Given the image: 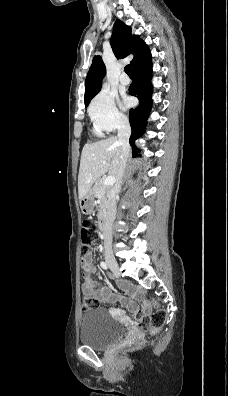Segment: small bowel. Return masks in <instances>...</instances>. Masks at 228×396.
<instances>
[{
    "label": "small bowel",
    "instance_id": "c3829d8e",
    "mask_svg": "<svg viewBox=\"0 0 228 396\" xmlns=\"http://www.w3.org/2000/svg\"><path fill=\"white\" fill-rule=\"evenodd\" d=\"M81 266L83 269V283L81 285L83 294L91 295L102 303L118 302L135 314H147L150 312V304L145 301L138 290L128 282L120 283V287L128 292L132 299L117 295L106 286L96 288L97 282L91 278V275L96 272V267L93 264V258L90 254L85 260H82Z\"/></svg>",
    "mask_w": 228,
    "mask_h": 396
}]
</instances>
